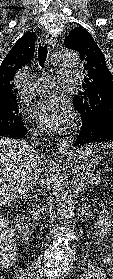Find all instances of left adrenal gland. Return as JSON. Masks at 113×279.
<instances>
[{"label":"left adrenal gland","instance_id":"obj_1","mask_svg":"<svg viewBox=\"0 0 113 279\" xmlns=\"http://www.w3.org/2000/svg\"><path fill=\"white\" fill-rule=\"evenodd\" d=\"M75 185H76V191L77 192H81L84 190L85 188V184L83 182H79V180L77 178H75L74 181Z\"/></svg>","mask_w":113,"mask_h":279}]
</instances>
